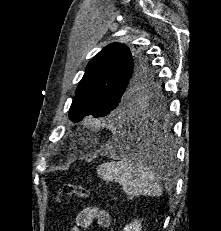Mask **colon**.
<instances>
[{
	"mask_svg": "<svg viewBox=\"0 0 221 231\" xmlns=\"http://www.w3.org/2000/svg\"><path fill=\"white\" fill-rule=\"evenodd\" d=\"M72 195L81 198H88L90 196L88 190L83 186L74 183H65L58 190L56 199L60 202L62 197Z\"/></svg>",
	"mask_w": 221,
	"mask_h": 231,
	"instance_id": "1",
	"label": "colon"
}]
</instances>
